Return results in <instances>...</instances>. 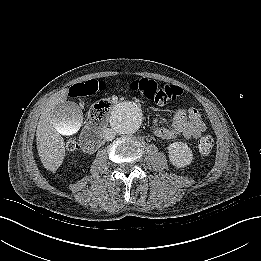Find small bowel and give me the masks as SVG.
<instances>
[{
	"mask_svg": "<svg viewBox=\"0 0 261 261\" xmlns=\"http://www.w3.org/2000/svg\"><path fill=\"white\" fill-rule=\"evenodd\" d=\"M154 123L153 135L162 139H174L180 136L197 139L206 130V124L200 112L194 107L178 109L174 114L172 126L169 128L157 126L156 120Z\"/></svg>",
	"mask_w": 261,
	"mask_h": 261,
	"instance_id": "small-bowel-1",
	"label": "small bowel"
}]
</instances>
